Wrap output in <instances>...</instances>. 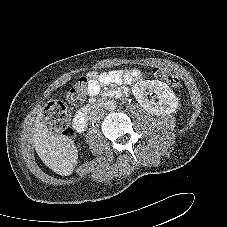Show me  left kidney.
<instances>
[{
	"label": "left kidney",
	"mask_w": 227,
	"mask_h": 227,
	"mask_svg": "<svg viewBox=\"0 0 227 227\" xmlns=\"http://www.w3.org/2000/svg\"><path fill=\"white\" fill-rule=\"evenodd\" d=\"M147 91L154 93L158 102L148 99ZM132 92L140 106L150 114H171L178 107V98L174 92L166 83L158 80L139 81L134 85Z\"/></svg>",
	"instance_id": "obj_1"
}]
</instances>
